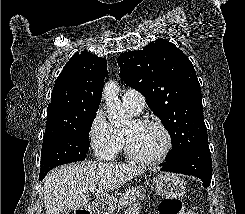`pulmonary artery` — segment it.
I'll return each instance as SVG.
<instances>
[{
	"mask_svg": "<svg viewBox=\"0 0 245 214\" xmlns=\"http://www.w3.org/2000/svg\"><path fill=\"white\" fill-rule=\"evenodd\" d=\"M122 103L126 108L138 114L142 112L145 106V98L137 90L128 89L122 96Z\"/></svg>",
	"mask_w": 245,
	"mask_h": 214,
	"instance_id": "obj_1",
	"label": "pulmonary artery"
}]
</instances>
